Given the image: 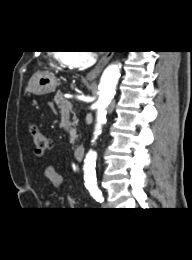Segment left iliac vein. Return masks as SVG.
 <instances>
[{
	"instance_id": "1",
	"label": "left iliac vein",
	"mask_w": 192,
	"mask_h": 260,
	"mask_svg": "<svg viewBox=\"0 0 192 260\" xmlns=\"http://www.w3.org/2000/svg\"><path fill=\"white\" fill-rule=\"evenodd\" d=\"M104 206H105V207H109V205H108V204H104Z\"/></svg>"
}]
</instances>
